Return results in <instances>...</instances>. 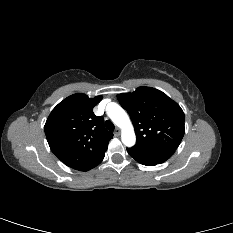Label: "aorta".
<instances>
[{"mask_svg":"<svg viewBox=\"0 0 233 233\" xmlns=\"http://www.w3.org/2000/svg\"><path fill=\"white\" fill-rule=\"evenodd\" d=\"M107 115L112 122L121 128V140L127 147L135 145L136 136L131 120L126 111L116 103H110L107 107Z\"/></svg>","mask_w":233,"mask_h":233,"instance_id":"obj_1","label":"aorta"}]
</instances>
